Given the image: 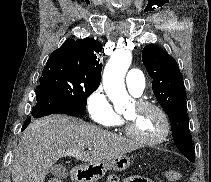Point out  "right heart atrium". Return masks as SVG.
<instances>
[{
  "mask_svg": "<svg viewBox=\"0 0 211 182\" xmlns=\"http://www.w3.org/2000/svg\"><path fill=\"white\" fill-rule=\"evenodd\" d=\"M86 107L91 120L96 124L115 126L121 122L102 87H98L90 93L87 97Z\"/></svg>",
  "mask_w": 211,
  "mask_h": 182,
  "instance_id": "obj_1",
  "label": "right heart atrium"
}]
</instances>
